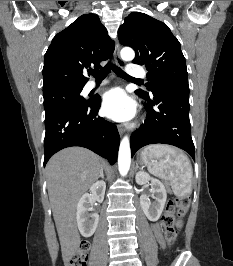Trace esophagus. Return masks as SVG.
<instances>
[{
  "label": "esophagus",
  "mask_w": 233,
  "mask_h": 266,
  "mask_svg": "<svg viewBox=\"0 0 233 266\" xmlns=\"http://www.w3.org/2000/svg\"><path fill=\"white\" fill-rule=\"evenodd\" d=\"M114 57H115V61L117 63V65L119 67H124L125 66V62L121 59L120 57V44H119V41L116 40L115 42V50H114ZM124 128L123 126L119 125L118 126V132L120 135H123L124 134Z\"/></svg>",
  "instance_id": "esophagus-1"
}]
</instances>
